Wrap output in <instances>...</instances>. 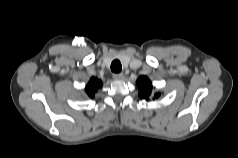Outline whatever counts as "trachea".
Listing matches in <instances>:
<instances>
[{
  "mask_svg": "<svg viewBox=\"0 0 238 158\" xmlns=\"http://www.w3.org/2000/svg\"><path fill=\"white\" fill-rule=\"evenodd\" d=\"M111 70L114 72V73H119L121 72L122 70V65H121V62L119 60H114L112 63H111Z\"/></svg>",
  "mask_w": 238,
  "mask_h": 158,
  "instance_id": "obj_1",
  "label": "trachea"
}]
</instances>
